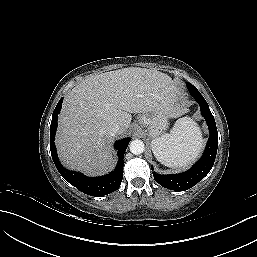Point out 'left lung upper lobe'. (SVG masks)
<instances>
[{"label": "left lung upper lobe", "mask_w": 257, "mask_h": 257, "mask_svg": "<svg viewBox=\"0 0 257 257\" xmlns=\"http://www.w3.org/2000/svg\"><path fill=\"white\" fill-rule=\"evenodd\" d=\"M187 89L189 90L190 94L199 93V91L190 83H187Z\"/></svg>", "instance_id": "5c2ea615"}]
</instances>
